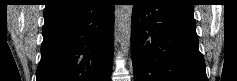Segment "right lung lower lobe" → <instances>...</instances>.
Returning <instances> with one entry per match:
<instances>
[{"mask_svg": "<svg viewBox=\"0 0 237 81\" xmlns=\"http://www.w3.org/2000/svg\"><path fill=\"white\" fill-rule=\"evenodd\" d=\"M37 81H110L114 4L78 0L44 13Z\"/></svg>", "mask_w": 237, "mask_h": 81, "instance_id": "obj_1", "label": "right lung lower lobe"}]
</instances>
